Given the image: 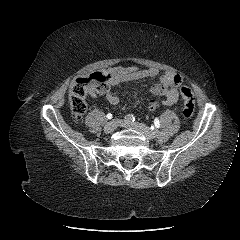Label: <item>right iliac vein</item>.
<instances>
[{"label": "right iliac vein", "instance_id": "right-iliac-vein-1", "mask_svg": "<svg viewBox=\"0 0 240 240\" xmlns=\"http://www.w3.org/2000/svg\"><path fill=\"white\" fill-rule=\"evenodd\" d=\"M121 124H122V122L120 120H118V119L111 120L110 122H108L105 125L104 130L107 133L113 132Z\"/></svg>", "mask_w": 240, "mask_h": 240}]
</instances>
